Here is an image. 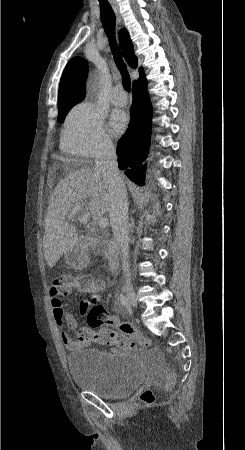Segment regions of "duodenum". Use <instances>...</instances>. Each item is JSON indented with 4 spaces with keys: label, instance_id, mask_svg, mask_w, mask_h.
I'll list each match as a JSON object with an SVG mask.
<instances>
[{
    "label": "duodenum",
    "instance_id": "obj_1",
    "mask_svg": "<svg viewBox=\"0 0 245 450\" xmlns=\"http://www.w3.org/2000/svg\"><path fill=\"white\" fill-rule=\"evenodd\" d=\"M103 233L105 238H92L87 236H81L77 240V248L80 251L79 260L85 261V253L94 248L95 246H103L109 250V269L116 272L120 265L119 249L116 240L111 236L110 230H105Z\"/></svg>",
    "mask_w": 245,
    "mask_h": 450
}]
</instances>
